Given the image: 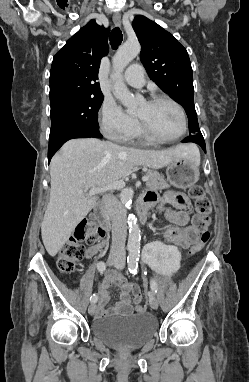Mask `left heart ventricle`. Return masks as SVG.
Instances as JSON below:
<instances>
[{
  "instance_id": "left-heart-ventricle-1",
  "label": "left heart ventricle",
  "mask_w": 249,
  "mask_h": 382,
  "mask_svg": "<svg viewBox=\"0 0 249 382\" xmlns=\"http://www.w3.org/2000/svg\"><path fill=\"white\" fill-rule=\"evenodd\" d=\"M136 117L145 122L157 135L176 137L182 131V120L177 109L168 102L142 104Z\"/></svg>"
}]
</instances>
